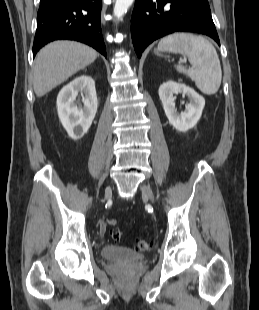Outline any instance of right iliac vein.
I'll use <instances>...</instances> for the list:
<instances>
[{"label": "right iliac vein", "mask_w": 259, "mask_h": 310, "mask_svg": "<svg viewBox=\"0 0 259 310\" xmlns=\"http://www.w3.org/2000/svg\"><path fill=\"white\" fill-rule=\"evenodd\" d=\"M111 196H112V190H111V188H107V189L105 190V198H106V199H110Z\"/></svg>", "instance_id": "obj_1"}]
</instances>
